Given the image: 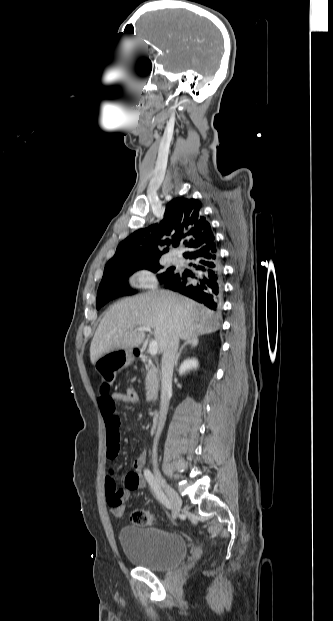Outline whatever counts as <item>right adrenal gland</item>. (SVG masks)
Listing matches in <instances>:
<instances>
[{"label":"right adrenal gland","mask_w":333,"mask_h":621,"mask_svg":"<svg viewBox=\"0 0 333 621\" xmlns=\"http://www.w3.org/2000/svg\"><path fill=\"white\" fill-rule=\"evenodd\" d=\"M198 343H199V341H198L197 337H193V338H190V339L186 340V342L181 346V348L179 349V351H178V353H177V355L175 357V362H174L175 367H177V365H178V360H179L181 352L185 348V346L189 344L191 347H196L198 345Z\"/></svg>","instance_id":"1"}]
</instances>
